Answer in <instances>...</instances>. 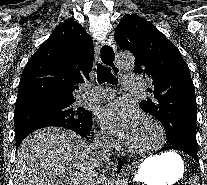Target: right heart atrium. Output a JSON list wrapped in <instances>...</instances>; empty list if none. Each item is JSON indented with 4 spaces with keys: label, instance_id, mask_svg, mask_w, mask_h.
Wrapping results in <instances>:
<instances>
[{
    "label": "right heart atrium",
    "instance_id": "d8ad5b80",
    "mask_svg": "<svg viewBox=\"0 0 207 185\" xmlns=\"http://www.w3.org/2000/svg\"><path fill=\"white\" fill-rule=\"evenodd\" d=\"M97 138L105 145H111L114 143V139L107 132L101 131L98 133Z\"/></svg>",
    "mask_w": 207,
    "mask_h": 185
}]
</instances>
